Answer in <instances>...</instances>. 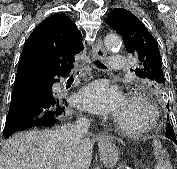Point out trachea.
<instances>
[{
  "label": "trachea",
  "mask_w": 177,
  "mask_h": 169,
  "mask_svg": "<svg viewBox=\"0 0 177 169\" xmlns=\"http://www.w3.org/2000/svg\"><path fill=\"white\" fill-rule=\"evenodd\" d=\"M95 64L99 68L107 69V67L103 63H101L100 61H96Z\"/></svg>",
  "instance_id": "obj_1"
}]
</instances>
